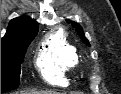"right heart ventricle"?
Listing matches in <instances>:
<instances>
[{"instance_id":"e07e8e85","label":"right heart ventricle","mask_w":121,"mask_h":94,"mask_svg":"<svg viewBox=\"0 0 121 94\" xmlns=\"http://www.w3.org/2000/svg\"><path fill=\"white\" fill-rule=\"evenodd\" d=\"M79 62L76 47L59 30L42 43L36 64L49 84L63 86L67 83V75L77 70Z\"/></svg>"}]
</instances>
